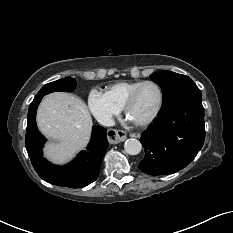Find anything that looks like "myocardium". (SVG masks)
Here are the masks:
<instances>
[{"label":"myocardium","instance_id":"f54148a6","mask_svg":"<svg viewBox=\"0 0 233 233\" xmlns=\"http://www.w3.org/2000/svg\"><path fill=\"white\" fill-rule=\"evenodd\" d=\"M145 85L155 86L158 90L159 98H158L157 106L155 107L153 112L148 117H146L142 120H132L138 126H146V125L150 124L158 116V114L161 111V108L163 106L164 95H163V91H162V88L160 87V85L157 82L151 81V80L143 81L142 83H140L137 87H135L132 90V92L130 93V95L128 96V98L126 99V101L124 103L123 110H124L126 116L129 117V111H130L132 105L134 104V102L136 101L140 90Z\"/></svg>","mask_w":233,"mask_h":233}]
</instances>
